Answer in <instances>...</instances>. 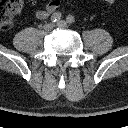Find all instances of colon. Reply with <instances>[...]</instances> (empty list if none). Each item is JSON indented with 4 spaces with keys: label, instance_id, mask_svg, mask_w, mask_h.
Masks as SVG:
<instances>
[{
    "label": "colon",
    "instance_id": "colon-1",
    "mask_svg": "<svg viewBox=\"0 0 128 128\" xmlns=\"http://www.w3.org/2000/svg\"><path fill=\"white\" fill-rule=\"evenodd\" d=\"M113 4L116 0H103ZM24 6L23 0H0V29H9Z\"/></svg>",
    "mask_w": 128,
    "mask_h": 128
}]
</instances>
